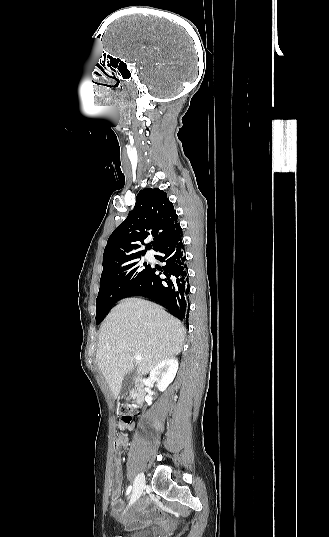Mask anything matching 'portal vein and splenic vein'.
Returning a JSON list of instances; mask_svg holds the SVG:
<instances>
[{"label":"portal vein and splenic vein","instance_id":"1","mask_svg":"<svg viewBox=\"0 0 329 537\" xmlns=\"http://www.w3.org/2000/svg\"><path fill=\"white\" fill-rule=\"evenodd\" d=\"M134 358L137 360V361H141L142 360V357L138 354H135L134 355Z\"/></svg>","mask_w":329,"mask_h":537}]
</instances>
